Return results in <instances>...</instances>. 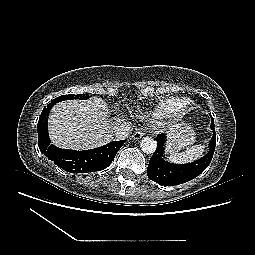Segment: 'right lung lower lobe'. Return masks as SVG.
Masks as SVG:
<instances>
[{
    "instance_id": "98d812e1",
    "label": "right lung lower lobe",
    "mask_w": 255,
    "mask_h": 255,
    "mask_svg": "<svg viewBox=\"0 0 255 255\" xmlns=\"http://www.w3.org/2000/svg\"><path fill=\"white\" fill-rule=\"evenodd\" d=\"M50 108L43 109L38 121V144L41 153L57 166L70 173H88L101 171L108 167L125 140L111 142L102 147L75 151L55 147L50 144L47 120Z\"/></svg>"
}]
</instances>
